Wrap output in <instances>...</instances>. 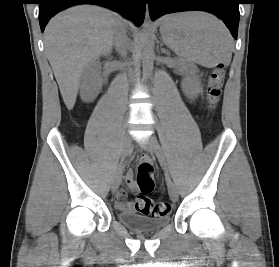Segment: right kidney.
<instances>
[{"label": "right kidney", "mask_w": 279, "mask_h": 267, "mask_svg": "<svg viewBox=\"0 0 279 267\" xmlns=\"http://www.w3.org/2000/svg\"><path fill=\"white\" fill-rule=\"evenodd\" d=\"M101 88L100 71L87 72L81 82V98L85 102L92 100L97 90Z\"/></svg>", "instance_id": "obj_1"}]
</instances>
